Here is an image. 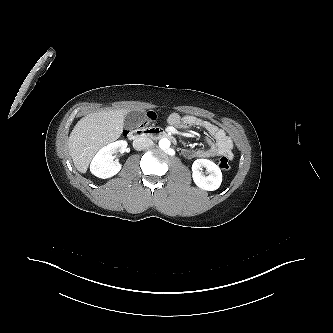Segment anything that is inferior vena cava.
I'll list each match as a JSON object with an SVG mask.
<instances>
[{"label":"inferior vena cava","mask_w":333,"mask_h":333,"mask_svg":"<svg viewBox=\"0 0 333 333\" xmlns=\"http://www.w3.org/2000/svg\"><path fill=\"white\" fill-rule=\"evenodd\" d=\"M152 141L146 137H139L133 141V147L136 150H144L151 146Z\"/></svg>","instance_id":"602c4592"}]
</instances>
